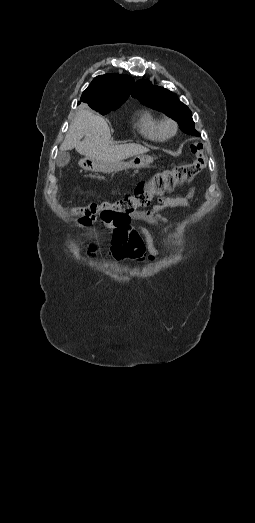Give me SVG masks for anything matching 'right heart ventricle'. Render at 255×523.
I'll use <instances>...</instances> for the list:
<instances>
[{
    "instance_id": "right-heart-ventricle-1",
    "label": "right heart ventricle",
    "mask_w": 255,
    "mask_h": 523,
    "mask_svg": "<svg viewBox=\"0 0 255 523\" xmlns=\"http://www.w3.org/2000/svg\"><path fill=\"white\" fill-rule=\"evenodd\" d=\"M138 128L140 133L148 139L161 140L164 138L161 119L149 110H145L141 115Z\"/></svg>"
}]
</instances>
